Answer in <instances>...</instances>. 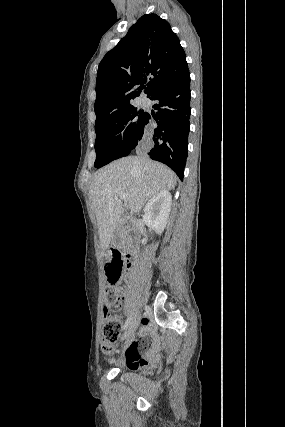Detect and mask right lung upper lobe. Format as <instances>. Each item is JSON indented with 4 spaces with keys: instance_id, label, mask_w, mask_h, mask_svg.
<instances>
[{
    "instance_id": "cb5924a9",
    "label": "right lung upper lobe",
    "mask_w": 285,
    "mask_h": 427,
    "mask_svg": "<svg viewBox=\"0 0 285 427\" xmlns=\"http://www.w3.org/2000/svg\"><path fill=\"white\" fill-rule=\"evenodd\" d=\"M187 71L185 52L169 23L156 14L143 15L99 64L95 125L131 106L144 84L151 97Z\"/></svg>"
}]
</instances>
